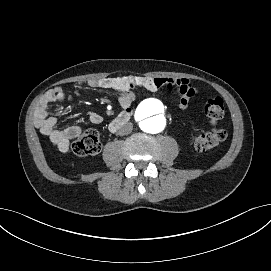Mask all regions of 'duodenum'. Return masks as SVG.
I'll list each match as a JSON object with an SVG mask.
<instances>
[{
  "label": "duodenum",
  "instance_id": "obj_1",
  "mask_svg": "<svg viewBox=\"0 0 271 271\" xmlns=\"http://www.w3.org/2000/svg\"><path fill=\"white\" fill-rule=\"evenodd\" d=\"M132 117V112L127 110L119 114L110 124V130L116 132L122 125L127 123Z\"/></svg>",
  "mask_w": 271,
  "mask_h": 271
}]
</instances>
